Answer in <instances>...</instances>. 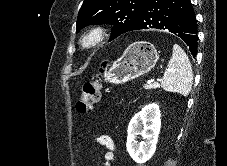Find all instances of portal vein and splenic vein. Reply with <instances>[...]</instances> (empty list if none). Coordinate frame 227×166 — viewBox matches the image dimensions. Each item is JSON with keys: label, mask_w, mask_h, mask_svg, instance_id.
Returning a JSON list of instances; mask_svg holds the SVG:
<instances>
[{"label": "portal vein and splenic vein", "mask_w": 227, "mask_h": 166, "mask_svg": "<svg viewBox=\"0 0 227 166\" xmlns=\"http://www.w3.org/2000/svg\"><path fill=\"white\" fill-rule=\"evenodd\" d=\"M152 82H154V80H149V81H148V84H150V83H152ZM154 84H155V83H154Z\"/></svg>", "instance_id": "1"}]
</instances>
